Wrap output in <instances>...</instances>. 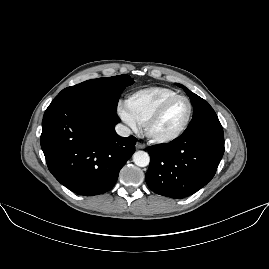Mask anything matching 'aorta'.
<instances>
[{"label": "aorta", "instance_id": "1", "mask_svg": "<svg viewBox=\"0 0 269 269\" xmlns=\"http://www.w3.org/2000/svg\"><path fill=\"white\" fill-rule=\"evenodd\" d=\"M133 161L138 167H147L150 163V157L148 153L144 151H138L134 153Z\"/></svg>", "mask_w": 269, "mask_h": 269}]
</instances>
